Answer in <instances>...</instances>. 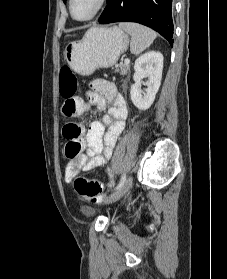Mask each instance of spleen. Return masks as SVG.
I'll return each mask as SVG.
<instances>
[{"mask_svg":"<svg viewBox=\"0 0 227 279\" xmlns=\"http://www.w3.org/2000/svg\"><path fill=\"white\" fill-rule=\"evenodd\" d=\"M119 27L131 35L130 51L135 55L142 53L157 37L153 30L137 23H119Z\"/></svg>","mask_w":227,"mask_h":279,"instance_id":"1","label":"spleen"}]
</instances>
